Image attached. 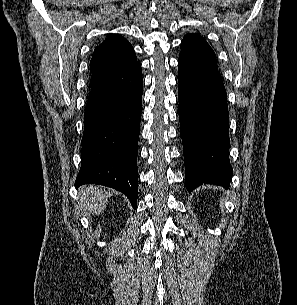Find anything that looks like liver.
Returning <instances> with one entry per match:
<instances>
[{"label":"liver","instance_id":"obj_1","mask_svg":"<svg viewBox=\"0 0 297 305\" xmlns=\"http://www.w3.org/2000/svg\"><path fill=\"white\" fill-rule=\"evenodd\" d=\"M80 210L92 215L102 213L108 202V192L96 185L83 186L79 191Z\"/></svg>","mask_w":297,"mask_h":305}]
</instances>
